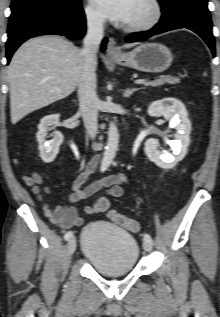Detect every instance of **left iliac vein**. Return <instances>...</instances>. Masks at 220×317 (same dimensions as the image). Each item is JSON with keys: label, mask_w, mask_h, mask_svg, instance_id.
Masks as SVG:
<instances>
[{"label": "left iliac vein", "mask_w": 220, "mask_h": 317, "mask_svg": "<svg viewBox=\"0 0 220 317\" xmlns=\"http://www.w3.org/2000/svg\"><path fill=\"white\" fill-rule=\"evenodd\" d=\"M143 248L145 251L150 252L152 250V245L148 241L144 240Z\"/></svg>", "instance_id": "1"}]
</instances>
